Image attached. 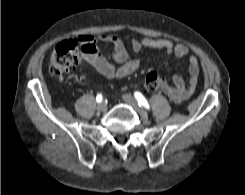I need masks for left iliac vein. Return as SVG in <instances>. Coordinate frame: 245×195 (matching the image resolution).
<instances>
[{"label":"left iliac vein","instance_id":"1","mask_svg":"<svg viewBox=\"0 0 245 195\" xmlns=\"http://www.w3.org/2000/svg\"><path fill=\"white\" fill-rule=\"evenodd\" d=\"M123 99L124 101L130 105L143 119H147L148 118V114L146 112V110H144L143 108H141L136 99H134L131 95L129 94H124L123 95Z\"/></svg>","mask_w":245,"mask_h":195}]
</instances>
